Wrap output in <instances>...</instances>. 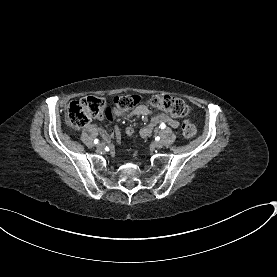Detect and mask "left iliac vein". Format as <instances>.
<instances>
[{
  "instance_id": "left-iliac-vein-1",
  "label": "left iliac vein",
  "mask_w": 277,
  "mask_h": 277,
  "mask_svg": "<svg viewBox=\"0 0 277 277\" xmlns=\"http://www.w3.org/2000/svg\"><path fill=\"white\" fill-rule=\"evenodd\" d=\"M153 146L157 149H160L163 147V142L162 141H156L153 143Z\"/></svg>"
}]
</instances>
